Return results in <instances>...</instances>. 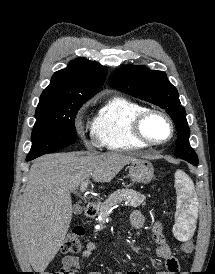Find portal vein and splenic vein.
Listing matches in <instances>:
<instances>
[{
	"mask_svg": "<svg viewBox=\"0 0 215 274\" xmlns=\"http://www.w3.org/2000/svg\"><path fill=\"white\" fill-rule=\"evenodd\" d=\"M87 186H88V179L85 180V181H83V182L81 183L80 191H81L82 193H84V192L86 191V189H87Z\"/></svg>",
	"mask_w": 215,
	"mask_h": 274,
	"instance_id": "18ae733b",
	"label": "portal vein and splenic vein"
}]
</instances>
